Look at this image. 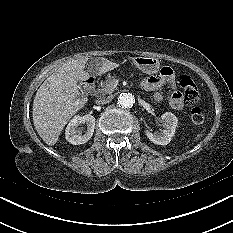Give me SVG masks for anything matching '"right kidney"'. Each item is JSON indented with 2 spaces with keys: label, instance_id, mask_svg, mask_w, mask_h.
Wrapping results in <instances>:
<instances>
[{
  "label": "right kidney",
  "instance_id": "right-kidney-1",
  "mask_svg": "<svg viewBox=\"0 0 233 233\" xmlns=\"http://www.w3.org/2000/svg\"><path fill=\"white\" fill-rule=\"evenodd\" d=\"M81 123H85L87 130L84 134L78 128ZM95 128V117L92 115H76L70 120L65 130L66 140L73 145L84 144L89 141L93 135Z\"/></svg>",
  "mask_w": 233,
  "mask_h": 233
}]
</instances>
